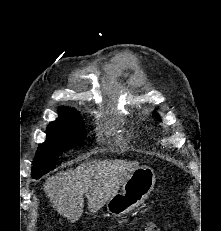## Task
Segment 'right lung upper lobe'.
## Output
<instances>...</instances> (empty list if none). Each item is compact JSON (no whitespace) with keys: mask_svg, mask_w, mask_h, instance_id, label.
I'll list each match as a JSON object with an SVG mask.
<instances>
[{"mask_svg":"<svg viewBox=\"0 0 221 231\" xmlns=\"http://www.w3.org/2000/svg\"><path fill=\"white\" fill-rule=\"evenodd\" d=\"M59 116L60 117H79V113L68 107L59 108Z\"/></svg>","mask_w":221,"mask_h":231,"instance_id":"1","label":"right lung upper lobe"}]
</instances>
